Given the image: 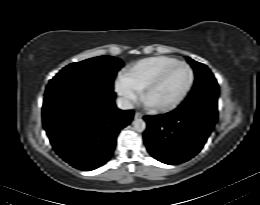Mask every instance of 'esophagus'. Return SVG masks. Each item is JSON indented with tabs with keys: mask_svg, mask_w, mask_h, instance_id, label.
<instances>
[{
	"mask_svg": "<svg viewBox=\"0 0 260 205\" xmlns=\"http://www.w3.org/2000/svg\"><path fill=\"white\" fill-rule=\"evenodd\" d=\"M143 117V114L142 113H140V112H135V114H134V118L135 119H139V118H142Z\"/></svg>",
	"mask_w": 260,
	"mask_h": 205,
	"instance_id": "esophagus-1",
	"label": "esophagus"
}]
</instances>
